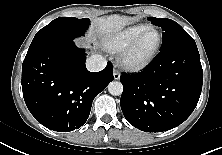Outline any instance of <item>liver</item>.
<instances>
[{"label":"liver","mask_w":222,"mask_h":155,"mask_svg":"<svg viewBox=\"0 0 222 155\" xmlns=\"http://www.w3.org/2000/svg\"><path fill=\"white\" fill-rule=\"evenodd\" d=\"M134 18L120 16L118 14H114L107 17H100L94 19V24L97 30L98 35L100 34H111L117 32L124 28L126 25L130 24ZM81 45H86V43L80 42Z\"/></svg>","instance_id":"liver-1"}]
</instances>
